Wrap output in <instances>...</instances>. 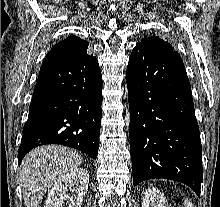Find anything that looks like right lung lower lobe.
<instances>
[{"label":"right lung lower lobe","mask_w":220,"mask_h":207,"mask_svg":"<svg viewBox=\"0 0 220 207\" xmlns=\"http://www.w3.org/2000/svg\"><path fill=\"white\" fill-rule=\"evenodd\" d=\"M102 76L97 59L43 61L18 150L19 164L31 149L61 144L96 159L102 117Z\"/></svg>","instance_id":"98d812e1"}]
</instances>
